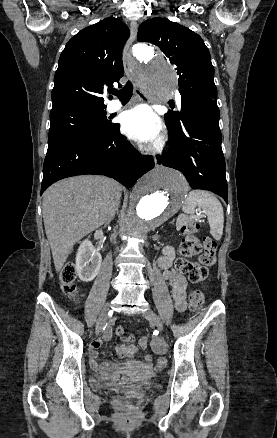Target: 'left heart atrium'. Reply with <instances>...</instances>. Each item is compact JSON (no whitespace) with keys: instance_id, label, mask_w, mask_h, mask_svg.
Segmentation results:
<instances>
[{"instance_id":"39dd6f15","label":"left heart atrium","mask_w":277,"mask_h":438,"mask_svg":"<svg viewBox=\"0 0 277 438\" xmlns=\"http://www.w3.org/2000/svg\"><path fill=\"white\" fill-rule=\"evenodd\" d=\"M121 123L123 132L142 144L153 145L161 136V121L148 105H139L125 112Z\"/></svg>"}]
</instances>
